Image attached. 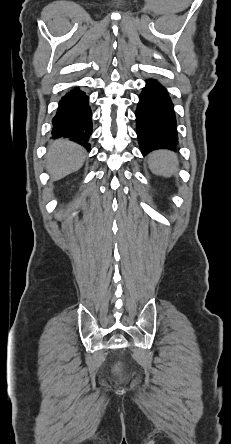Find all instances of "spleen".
Returning <instances> with one entry per match:
<instances>
[{
    "label": "spleen",
    "mask_w": 231,
    "mask_h": 444,
    "mask_svg": "<svg viewBox=\"0 0 231 444\" xmlns=\"http://www.w3.org/2000/svg\"><path fill=\"white\" fill-rule=\"evenodd\" d=\"M150 170L164 177H170L177 173L178 159L177 155L167 150H157L152 152L148 158Z\"/></svg>",
    "instance_id": "spleen-1"
}]
</instances>
